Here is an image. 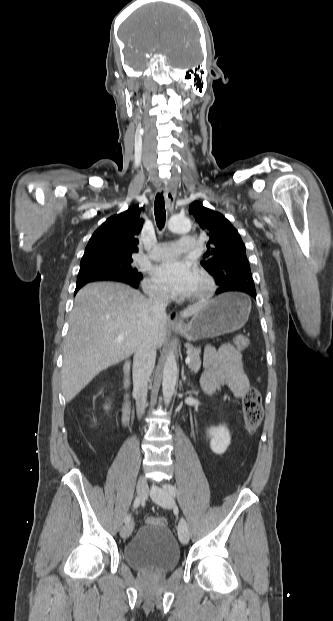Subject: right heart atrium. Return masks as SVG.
Masks as SVG:
<instances>
[{"instance_id":"d8ad5b80","label":"right heart atrium","mask_w":333,"mask_h":621,"mask_svg":"<svg viewBox=\"0 0 333 621\" xmlns=\"http://www.w3.org/2000/svg\"><path fill=\"white\" fill-rule=\"evenodd\" d=\"M143 287L145 292L151 297L161 300L168 297V292L152 278H147L144 281Z\"/></svg>"}]
</instances>
